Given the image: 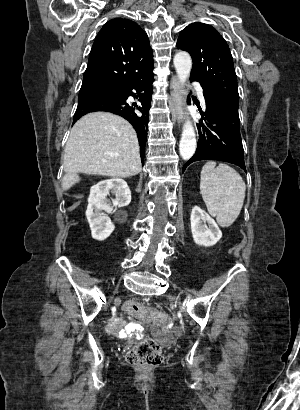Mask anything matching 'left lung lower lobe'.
Instances as JSON below:
<instances>
[{
    "instance_id": "0a47b994",
    "label": "left lung lower lobe",
    "mask_w": 300,
    "mask_h": 410,
    "mask_svg": "<svg viewBox=\"0 0 300 410\" xmlns=\"http://www.w3.org/2000/svg\"><path fill=\"white\" fill-rule=\"evenodd\" d=\"M191 80L196 81L192 78ZM203 95L206 102V112L200 110V113L202 119L207 122V127L202 125L206 136L201 134L199 128L196 152L183 166L182 171L192 162L200 160L226 161L246 171L240 136L238 105L213 95L204 88Z\"/></svg>"
}]
</instances>
